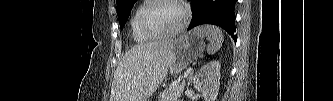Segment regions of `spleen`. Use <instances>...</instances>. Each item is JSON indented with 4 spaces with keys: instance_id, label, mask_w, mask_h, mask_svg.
I'll return each mask as SVG.
<instances>
[{
    "instance_id": "obj_1",
    "label": "spleen",
    "mask_w": 333,
    "mask_h": 101,
    "mask_svg": "<svg viewBox=\"0 0 333 101\" xmlns=\"http://www.w3.org/2000/svg\"><path fill=\"white\" fill-rule=\"evenodd\" d=\"M194 31L209 40L210 44L207 46L208 54H214L221 48L224 36L220 28L213 25H205L195 28Z\"/></svg>"
}]
</instances>
